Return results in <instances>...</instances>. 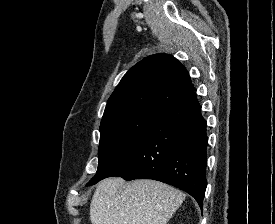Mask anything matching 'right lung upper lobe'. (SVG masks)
<instances>
[{"label": "right lung upper lobe", "instance_id": "obj_1", "mask_svg": "<svg viewBox=\"0 0 275 224\" xmlns=\"http://www.w3.org/2000/svg\"><path fill=\"white\" fill-rule=\"evenodd\" d=\"M195 88L185 67L173 56L150 55L133 66L108 99L101 124L148 107L167 110Z\"/></svg>", "mask_w": 275, "mask_h": 224}]
</instances>
